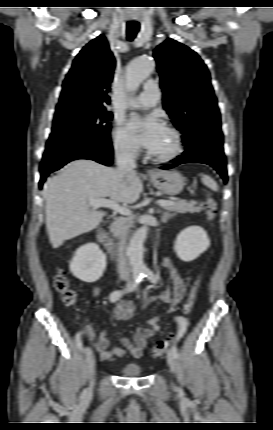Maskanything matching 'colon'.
Listing matches in <instances>:
<instances>
[{
    "label": "colon",
    "instance_id": "5ec220e1",
    "mask_svg": "<svg viewBox=\"0 0 273 430\" xmlns=\"http://www.w3.org/2000/svg\"><path fill=\"white\" fill-rule=\"evenodd\" d=\"M215 212H216L215 201L210 196H208L205 202V213L209 221H211L214 218ZM200 282H201V277L198 276L191 287L188 300L184 305V312L186 314H190L192 312V308L195 302V298H196V294H197ZM54 286L56 290L61 294L62 300L67 306H71L76 302V297H77L76 292L72 289L68 278L63 272H59L55 276ZM85 327L87 331L90 330L88 325H86ZM183 329H186V325L183 326L180 324L178 327V331ZM175 337H176V334H171L167 339L157 342L150 350L149 352L150 355L154 358L162 356L170 347Z\"/></svg>",
    "mask_w": 273,
    "mask_h": 430
}]
</instances>
